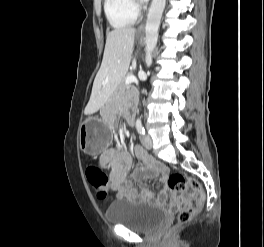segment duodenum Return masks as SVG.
<instances>
[{
    "instance_id": "obj_1",
    "label": "duodenum",
    "mask_w": 264,
    "mask_h": 247,
    "mask_svg": "<svg viewBox=\"0 0 264 247\" xmlns=\"http://www.w3.org/2000/svg\"><path fill=\"white\" fill-rule=\"evenodd\" d=\"M133 114L132 113H129L128 115H127V120H128V122L129 123H132L133 122Z\"/></svg>"
}]
</instances>
